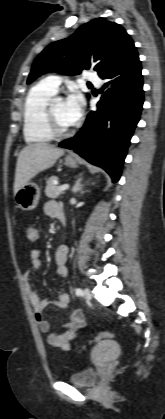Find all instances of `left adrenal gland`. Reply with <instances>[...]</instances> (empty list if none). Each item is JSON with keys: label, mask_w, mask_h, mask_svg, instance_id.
I'll return each mask as SVG.
<instances>
[{"label": "left adrenal gland", "mask_w": 165, "mask_h": 419, "mask_svg": "<svg viewBox=\"0 0 165 419\" xmlns=\"http://www.w3.org/2000/svg\"><path fill=\"white\" fill-rule=\"evenodd\" d=\"M80 182H81V180H80V179H78V180L76 181V183H75V185H74V187H73V192H74V193H77V192H79V191H81V190H82L83 185H82Z\"/></svg>", "instance_id": "left-adrenal-gland-1"}]
</instances>
